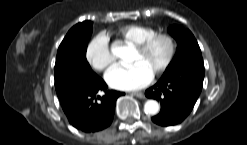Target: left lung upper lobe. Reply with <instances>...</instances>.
<instances>
[{"label":"left lung upper lobe","instance_id":"5c2ea615","mask_svg":"<svg viewBox=\"0 0 247 145\" xmlns=\"http://www.w3.org/2000/svg\"><path fill=\"white\" fill-rule=\"evenodd\" d=\"M168 32L177 41L176 54L165 70L172 72L186 65L203 66V59L199 45L190 30L178 25H171Z\"/></svg>","mask_w":247,"mask_h":145}]
</instances>
